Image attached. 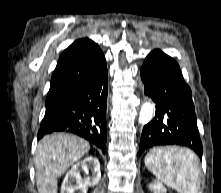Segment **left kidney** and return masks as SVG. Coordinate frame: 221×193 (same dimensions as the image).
Masks as SVG:
<instances>
[{"mask_svg": "<svg viewBox=\"0 0 221 193\" xmlns=\"http://www.w3.org/2000/svg\"><path fill=\"white\" fill-rule=\"evenodd\" d=\"M149 189L153 191V193H166V188L163 186L162 182L154 181L149 185Z\"/></svg>", "mask_w": 221, "mask_h": 193, "instance_id": "5707ae66", "label": "left kidney"}]
</instances>
